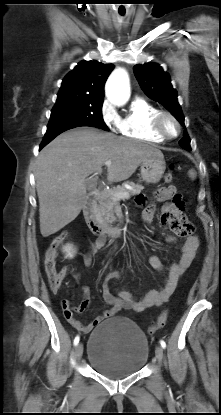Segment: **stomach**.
Returning <instances> with one entry per match:
<instances>
[{
    "mask_svg": "<svg viewBox=\"0 0 221 415\" xmlns=\"http://www.w3.org/2000/svg\"><path fill=\"white\" fill-rule=\"evenodd\" d=\"M141 177L148 184L158 183L166 169L164 157L153 156L141 164Z\"/></svg>",
    "mask_w": 221,
    "mask_h": 415,
    "instance_id": "stomach-1",
    "label": "stomach"
}]
</instances>
